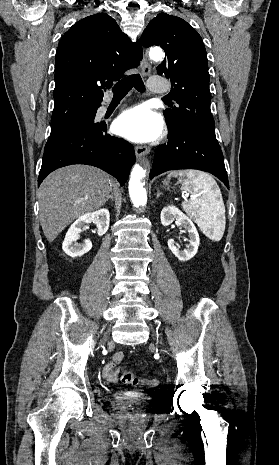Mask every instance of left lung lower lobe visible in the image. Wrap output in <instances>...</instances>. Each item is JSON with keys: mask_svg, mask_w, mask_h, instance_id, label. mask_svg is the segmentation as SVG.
Segmentation results:
<instances>
[{"mask_svg": "<svg viewBox=\"0 0 279 465\" xmlns=\"http://www.w3.org/2000/svg\"><path fill=\"white\" fill-rule=\"evenodd\" d=\"M168 138L155 152L150 179L169 170L197 169L215 175L229 188L223 154L216 139L189 128L169 130Z\"/></svg>", "mask_w": 279, "mask_h": 465, "instance_id": "obj_1", "label": "left lung lower lobe"}]
</instances>
